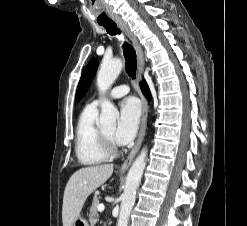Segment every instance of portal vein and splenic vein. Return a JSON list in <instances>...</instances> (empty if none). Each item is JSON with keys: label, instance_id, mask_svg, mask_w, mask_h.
<instances>
[{"label": "portal vein and splenic vein", "instance_id": "18ae733b", "mask_svg": "<svg viewBox=\"0 0 247 226\" xmlns=\"http://www.w3.org/2000/svg\"><path fill=\"white\" fill-rule=\"evenodd\" d=\"M104 208H105V206H104L103 203H100V204L97 206V210H98L99 212L104 211Z\"/></svg>", "mask_w": 247, "mask_h": 226}]
</instances>
